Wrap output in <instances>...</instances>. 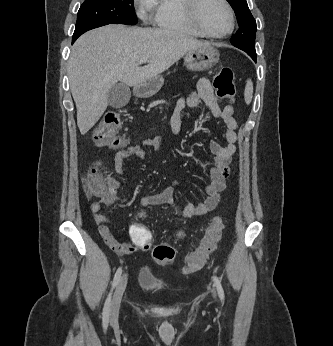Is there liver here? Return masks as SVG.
Returning <instances> with one entry per match:
<instances>
[{
  "label": "liver",
  "instance_id": "1",
  "mask_svg": "<svg viewBox=\"0 0 333 346\" xmlns=\"http://www.w3.org/2000/svg\"><path fill=\"white\" fill-rule=\"evenodd\" d=\"M209 45L169 29L108 25L83 34L68 62L80 133L86 134L100 119L108 106L107 92L118 81L136 87L188 52ZM143 58L148 64L140 67Z\"/></svg>",
  "mask_w": 333,
  "mask_h": 346
}]
</instances>
